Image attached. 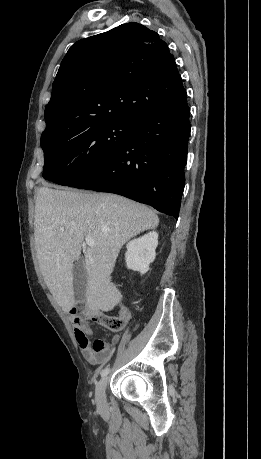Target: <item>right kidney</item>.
I'll use <instances>...</instances> for the list:
<instances>
[{"mask_svg": "<svg viewBox=\"0 0 261 459\" xmlns=\"http://www.w3.org/2000/svg\"><path fill=\"white\" fill-rule=\"evenodd\" d=\"M157 245L158 233L155 231L128 242L125 253L127 268L145 274L155 259Z\"/></svg>", "mask_w": 261, "mask_h": 459, "instance_id": "right-kidney-1", "label": "right kidney"}]
</instances>
